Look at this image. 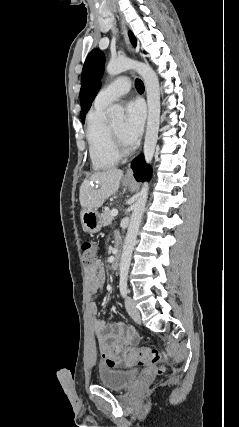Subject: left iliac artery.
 Segmentation results:
<instances>
[{"mask_svg":"<svg viewBox=\"0 0 239 427\" xmlns=\"http://www.w3.org/2000/svg\"><path fill=\"white\" fill-rule=\"evenodd\" d=\"M119 288H120V293L123 297H125L128 293V289H127V276L126 275H122L120 277V283H119Z\"/></svg>","mask_w":239,"mask_h":427,"instance_id":"1","label":"left iliac artery"}]
</instances>
